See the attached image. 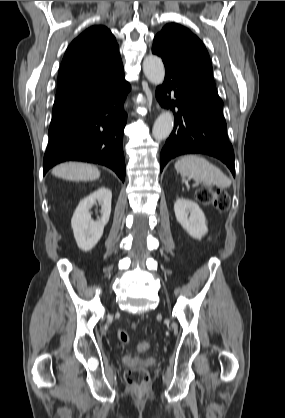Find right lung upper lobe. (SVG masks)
<instances>
[{"label":"right lung upper lobe","mask_w":285,"mask_h":418,"mask_svg":"<svg viewBox=\"0 0 285 418\" xmlns=\"http://www.w3.org/2000/svg\"><path fill=\"white\" fill-rule=\"evenodd\" d=\"M123 77L114 35L105 26H91L72 41L64 54L53 110L76 104Z\"/></svg>","instance_id":"obj_1"}]
</instances>
